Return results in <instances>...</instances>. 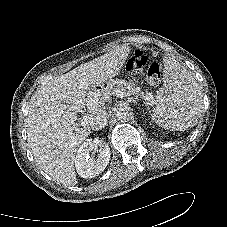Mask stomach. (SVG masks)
Here are the masks:
<instances>
[{"mask_svg": "<svg viewBox=\"0 0 227 227\" xmlns=\"http://www.w3.org/2000/svg\"><path fill=\"white\" fill-rule=\"evenodd\" d=\"M116 91L117 86L114 83L93 84L91 86V96L93 98H98L103 94L115 93Z\"/></svg>", "mask_w": 227, "mask_h": 227, "instance_id": "obj_1", "label": "stomach"}]
</instances>
